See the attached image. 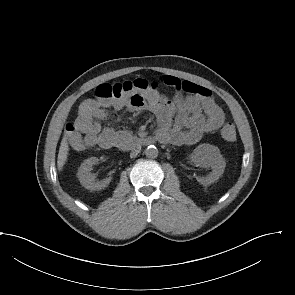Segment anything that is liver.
I'll list each match as a JSON object with an SVG mask.
<instances>
[{
	"mask_svg": "<svg viewBox=\"0 0 295 295\" xmlns=\"http://www.w3.org/2000/svg\"><path fill=\"white\" fill-rule=\"evenodd\" d=\"M68 151H69L68 142L66 137H64L61 141V145H60L59 153H58L57 166L59 171H62L63 166L65 165L67 161Z\"/></svg>",
	"mask_w": 295,
	"mask_h": 295,
	"instance_id": "obj_1",
	"label": "liver"
}]
</instances>
